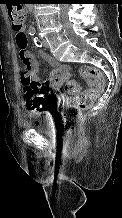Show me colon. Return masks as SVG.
<instances>
[{
	"label": "colon",
	"instance_id": "colon-1",
	"mask_svg": "<svg viewBox=\"0 0 122 218\" xmlns=\"http://www.w3.org/2000/svg\"><path fill=\"white\" fill-rule=\"evenodd\" d=\"M8 12L12 22V28L16 32L15 41L19 51V56L23 62L28 59V38L22 31L26 13L21 5L9 4ZM25 64V63H24ZM81 75L93 83V89L84 91L81 84L76 80H70L65 84V90L73 96V103L63 110L64 128L66 132H72L77 125L81 112L92 107L96 95L101 93L106 84L102 71L96 67L84 65L80 68ZM21 81L24 85V103L30 112H41L42 106L36 104L34 94L38 86L32 81L28 68L21 74Z\"/></svg>",
	"mask_w": 122,
	"mask_h": 218
}]
</instances>
